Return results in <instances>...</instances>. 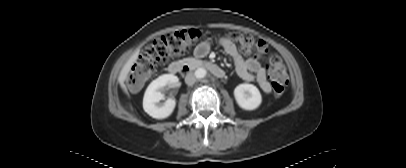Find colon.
I'll list each match as a JSON object with an SVG mask.
<instances>
[{
    "mask_svg": "<svg viewBox=\"0 0 406 168\" xmlns=\"http://www.w3.org/2000/svg\"><path fill=\"white\" fill-rule=\"evenodd\" d=\"M202 38V32L198 29H185L166 34L156 39L133 64L129 74L128 83L131 88L139 89L152 75L160 64L167 62L173 57L186 53L190 47ZM231 41L236 42L244 54L264 55L268 52L265 42L255 41L247 33L229 34ZM270 77L273 92L281 96L288 84V75L283 62L276 56L270 58Z\"/></svg>",
    "mask_w": 406,
    "mask_h": 168,
    "instance_id": "1",
    "label": "colon"
}]
</instances>
